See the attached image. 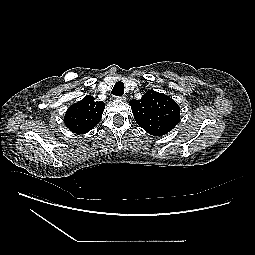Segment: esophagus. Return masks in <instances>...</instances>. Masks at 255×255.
<instances>
[{"mask_svg": "<svg viewBox=\"0 0 255 255\" xmlns=\"http://www.w3.org/2000/svg\"><path fill=\"white\" fill-rule=\"evenodd\" d=\"M116 99L124 101L126 98H125V96H117Z\"/></svg>", "mask_w": 255, "mask_h": 255, "instance_id": "34e87169", "label": "esophagus"}]
</instances>
